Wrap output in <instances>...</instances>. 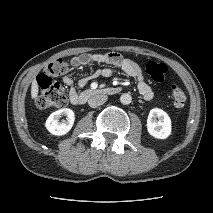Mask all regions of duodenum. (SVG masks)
Here are the masks:
<instances>
[{
	"label": "duodenum",
	"instance_id": "obj_1",
	"mask_svg": "<svg viewBox=\"0 0 213 213\" xmlns=\"http://www.w3.org/2000/svg\"><path fill=\"white\" fill-rule=\"evenodd\" d=\"M120 90H121L120 87H109L105 89H88L78 95L77 103L83 104L88 99L99 96V95H114L119 93Z\"/></svg>",
	"mask_w": 213,
	"mask_h": 213
}]
</instances>
